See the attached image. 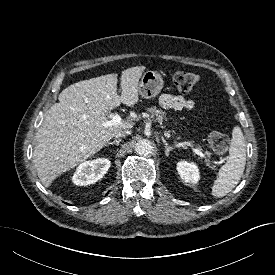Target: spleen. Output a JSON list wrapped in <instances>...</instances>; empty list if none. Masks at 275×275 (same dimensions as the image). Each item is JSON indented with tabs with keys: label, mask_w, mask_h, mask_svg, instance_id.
<instances>
[{
	"label": "spleen",
	"mask_w": 275,
	"mask_h": 275,
	"mask_svg": "<svg viewBox=\"0 0 275 275\" xmlns=\"http://www.w3.org/2000/svg\"><path fill=\"white\" fill-rule=\"evenodd\" d=\"M246 165V144L243 132L236 126L232 130V139L226 163L220 168L218 177L212 186V195L221 198L227 195L239 183Z\"/></svg>",
	"instance_id": "obj_1"
}]
</instances>
